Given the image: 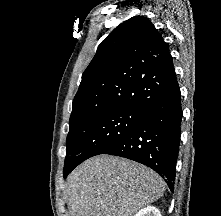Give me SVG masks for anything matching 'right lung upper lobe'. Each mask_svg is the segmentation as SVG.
Segmentation results:
<instances>
[{
	"instance_id": "right-lung-upper-lobe-1",
	"label": "right lung upper lobe",
	"mask_w": 221,
	"mask_h": 216,
	"mask_svg": "<svg viewBox=\"0 0 221 216\" xmlns=\"http://www.w3.org/2000/svg\"><path fill=\"white\" fill-rule=\"evenodd\" d=\"M175 80L161 34L146 17H132L99 45L82 75L69 126L111 110L143 109Z\"/></svg>"
}]
</instances>
